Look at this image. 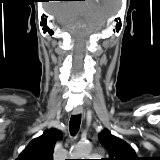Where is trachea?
I'll list each match as a JSON object with an SVG mask.
<instances>
[{
	"mask_svg": "<svg viewBox=\"0 0 160 160\" xmlns=\"http://www.w3.org/2000/svg\"><path fill=\"white\" fill-rule=\"evenodd\" d=\"M81 123V115H73L69 122V129L72 135H75L79 128Z\"/></svg>",
	"mask_w": 160,
	"mask_h": 160,
	"instance_id": "1",
	"label": "trachea"
}]
</instances>
